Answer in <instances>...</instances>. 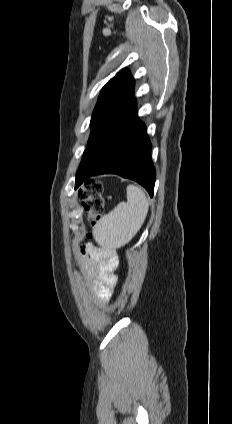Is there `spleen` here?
<instances>
[{"instance_id": "obj_1", "label": "spleen", "mask_w": 232, "mask_h": 424, "mask_svg": "<svg viewBox=\"0 0 232 424\" xmlns=\"http://www.w3.org/2000/svg\"><path fill=\"white\" fill-rule=\"evenodd\" d=\"M127 202H120L101 216L94 227L95 241L105 250L127 244L143 225L149 209L148 199L140 187L127 186Z\"/></svg>"}]
</instances>
